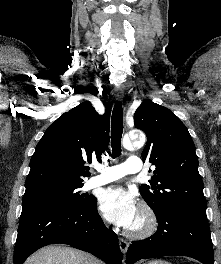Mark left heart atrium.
<instances>
[{
	"instance_id": "obj_1",
	"label": "left heart atrium",
	"mask_w": 221,
	"mask_h": 264,
	"mask_svg": "<svg viewBox=\"0 0 221 264\" xmlns=\"http://www.w3.org/2000/svg\"><path fill=\"white\" fill-rule=\"evenodd\" d=\"M99 208L108 221L124 228H131L138 216L134 196L120 187L104 190L99 196Z\"/></svg>"
}]
</instances>
